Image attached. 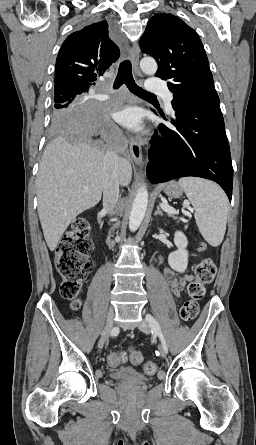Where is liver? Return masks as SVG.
I'll use <instances>...</instances> for the list:
<instances>
[{
	"label": "liver",
	"mask_w": 256,
	"mask_h": 445,
	"mask_svg": "<svg viewBox=\"0 0 256 445\" xmlns=\"http://www.w3.org/2000/svg\"><path fill=\"white\" fill-rule=\"evenodd\" d=\"M104 156L103 149L87 140L72 144L59 137L46 146L36 184L38 216L51 251L70 223L101 200ZM131 177L129 161L119 158L120 184L128 186Z\"/></svg>",
	"instance_id": "6515ba94"
}]
</instances>
